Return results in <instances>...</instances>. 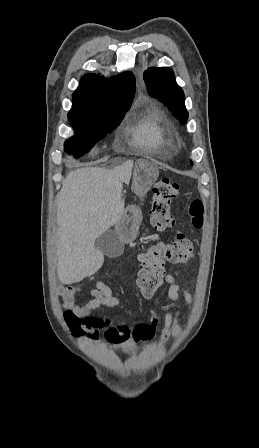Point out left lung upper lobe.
<instances>
[{"label":"left lung upper lobe","instance_id":"obj_1","mask_svg":"<svg viewBox=\"0 0 259 448\" xmlns=\"http://www.w3.org/2000/svg\"><path fill=\"white\" fill-rule=\"evenodd\" d=\"M144 81L148 93L160 100L182 124H185L188 118L184 104L185 95L175 81L173 70L167 67L149 68L144 72Z\"/></svg>","mask_w":259,"mask_h":448}]
</instances>
